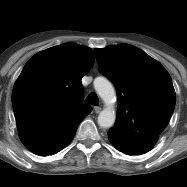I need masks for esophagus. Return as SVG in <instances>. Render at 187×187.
Listing matches in <instances>:
<instances>
[{
	"label": "esophagus",
	"instance_id": "1",
	"mask_svg": "<svg viewBox=\"0 0 187 187\" xmlns=\"http://www.w3.org/2000/svg\"><path fill=\"white\" fill-rule=\"evenodd\" d=\"M101 109L102 108L100 106L94 107V110H95L96 113H99L101 111Z\"/></svg>",
	"mask_w": 187,
	"mask_h": 187
}]
</instances>
